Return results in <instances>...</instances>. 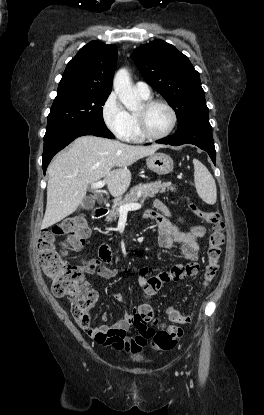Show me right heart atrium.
<instances>
[{
	"mask_svg": "<svg viewBox=\"0 0 264 415\" xmlns=\"http://www.w3.org/2000/svg\"><path fill=\"white\" fill-rule=\"evenodd\" d=\"M102 117L106 126L119 138H124L129 130L128 111L119 101L115 92H111L102 105Z\"/></svg>",
	"mask_w": 264,
	"mask_h": 415,
	"instance_id": "obj_1",
	"label": "right heart atrium"
}]
</instances>
